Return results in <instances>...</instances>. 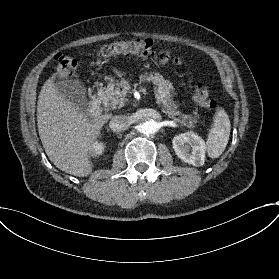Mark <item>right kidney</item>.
I'll return each instance as SVG.
<instances>
[{
	"label": "right kidney",
	"instance_id": "obj_1",
	"mask_svg": "<svg viewBox=\"0 0 279 279\" xmlns=\"http://www.w3.org/2000/svg\"><path fill=\"white\" fill-rule=\"evenodd\" d=\"M105 145L102 142L95 141L91 144V156L98 157L103 154Z\"/></svg>",
	"mask_w": 279,
	"mask_h": 279
}]
</instances>
